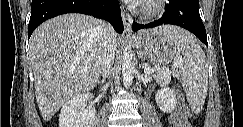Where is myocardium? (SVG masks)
Masks as SVG:
<instances>
[{"label": "myocardium", "mask_w": 243, "mask_h": 127, "mask_svg": "<svg viewBox=\"0 0 243 127\" xmlns=\"http://www.w3.org/2000/svg\"><path fill=\"white\" fill-rule=\"evenodd\" d=\"M164 2V0H147L140 7V13L144 17L155 16L161 12Z\"/></svg>", "instance_id": "f54148a6"}]
</instances>
